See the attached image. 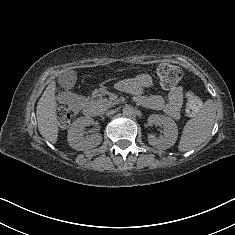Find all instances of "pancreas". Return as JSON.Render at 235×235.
I'll return each instance as SVG.
<instances>
[{"label":"pancreas","instance_id":"obj_1","mask_svg":"<svg viewBox=\"0 0 235 235\" xmlns=\"http://www.w3.org/2000/svg\"><path fill=\"white\" fill-rule=\"evenodd\" d=\"M108 102V99L101 100V104Z\"/></svg>","mask_w":235,"mask_h":235}]
</instances>
